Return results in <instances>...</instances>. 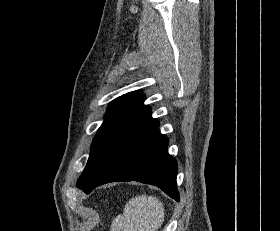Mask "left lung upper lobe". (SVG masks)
<instances>
[{
	"mask_svg": "<svg viewBox=\"0 0 280 231\" xmlns=\"http://www.w3.org/2000/svg\"><path fill=\"white\" fill-rule=\"evenodd\" d=\"M144 100L145 96L140 91H134L118 97L109 104L105 120L93 139L87 165L78 179L77 186L81 185V180L95 156L116 133L151 113L149 106L143 105Z\"/></svg>",
	"mask_w": 280,
	"mask_h": 231,
	"instance_id": "obj_1",
	"label": "left lung upper lobe"
}]
</instances>
